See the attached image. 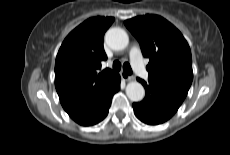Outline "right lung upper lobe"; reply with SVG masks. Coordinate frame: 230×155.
I'll return each mask as SVG.
<instances>
[{
    "instance_id": "right-lung-upper-lobe-1",
    "label": "right lung upper lobe",
    "mask_w": 230,
    "mask_h": 155,
    "mask_svg": "<svg viewBox=\"0 0 230 155\" xmlns=\"http://www.w3.org/2000/svg\"><path fill=\"white\" fill-rule=\"evenodd\" d=\"M113 17L89 18L63 41L55 62V87L66 112L95 101L104 93L118 73L105 69L103 48L105 31Z\"/></svg>"
}]
</instances>
